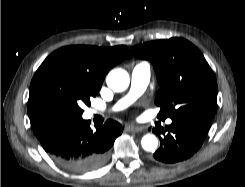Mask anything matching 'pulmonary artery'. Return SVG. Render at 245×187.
<instances>
[{
  "label": "pulmonary artery",
  "mask_w": 245,
  "mask_h": 187,
  "mask_svg": "<svg viewBox=\"0 0 245 187\" xmlns=\"http://www.w3.org/2000/svg\"><path fill=\"white\" fill-rule=\"evenodd\" d=\"M151 77V66L148 62H140L136 64L131 71V88L129 94L114 105L110 111L123 109L141 95L147 88ZM98 113L91 111V114ZM168 124L171 120L167 121Z\"/></svg>",
  "instance_id": "e3ab8cb5"
}]
</instances>
